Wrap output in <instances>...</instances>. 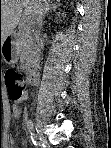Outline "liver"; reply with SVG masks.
I'll return each instance as SVG.
<instances>
[{
  "label": "liver",
  "instance_id": "liver-1",
  "mask_svg": "<svg viewBox=\"0 0 111 148\" xmlns=\"http://www.w3.org/2000/svg\"><path fill=\"white\" fill-rule=\"evenodd\" d=\"M42 3L43 0H2L1 42H5L22 17L30 20L33 17L34 11L39 5H42Z\"/></svg>",
  "mask_w": 111,
  "mask_h": 148
}]
</instances>
